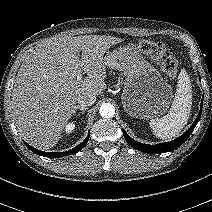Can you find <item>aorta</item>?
Listing matches in <instances>:
<instances>
[{
  "instance_id": "762f6f07",
  "label": "aorta",
  "mask_w": 212,
  "mask_h": 212,
  "mask_svg": "<svg viewBox=\"0 0 212 212\" xmlns=\"http://www.w3.org/2000/svg\"><path fill=\"white\" fill-rule=\"evenodd\" d=\"M99 113L103 118H112L115 114V108L111 103H104L101 105Z\"/></svg>"
}]
</instances>
